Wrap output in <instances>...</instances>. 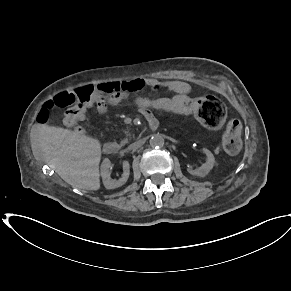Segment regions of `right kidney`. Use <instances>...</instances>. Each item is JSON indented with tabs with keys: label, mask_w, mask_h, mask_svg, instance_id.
<instances>
[{
	"label": "right kidney",
	"mask_w": 291,
	"mask_h": 291,
	"mask_svg": "<svg viewBox=\"0 0 291 291\" xmlns=\"http://www.w3.org/2000/svg\"><path fill=\"white\" fill-rule=\"evenodd\" d=\"M111 168V161L108 158H105L101 164V176L106 189H115L124 185L130 174V166L128 161H123V175L119 180H114L111 178Z\"/></svg>",
	"instance_id": "ca27d5eb"
}]
</instances>
